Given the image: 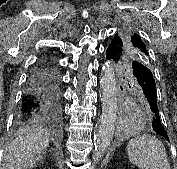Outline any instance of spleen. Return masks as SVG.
I'll list each match as a JSON object with an SVG mask.
<instances>
[{"label": "spleen", "mask_w": 177, "mask_h": 169, "mask_svg": "<svg viewBox=\"0 0 177 169\" xmlns=\"http://www.w3.org/2000/svg\"><path fill=\"white\" fill-rule=\"evenodd\" d=\"M127 153L130 162L140 169H171L164 144L150 134L131 139Z\"/></svg>", "instance_id": "spleen-1"}]
</instances>
